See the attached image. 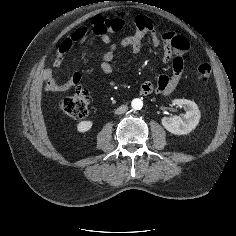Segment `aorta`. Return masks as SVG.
I'll list each match as a JSON object with an SVG mask.
<instances>
[{"mask_svg": "<svg viewBox=\"0 0 236 236\" xmlns=\"http://www.w3.org/2000/svg\"><path fill=\"white\" fill-rule=\"evenodd\" d=\"M131 106L134 110H140L142 109V106H143V102L141 99L139 98H136V99H133L132 102H131Z\"/></svg>", "mask_w": 236, "mask_h": 236, "instance_id": "obj_1", "label": "aorta"}]
</instances>
